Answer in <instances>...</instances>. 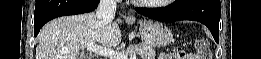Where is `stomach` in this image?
<instances>
[{
    "instance_id": "0dacf381",
    "label": "stomach",
    "mask_w": 261,
    "mask_h": 59,
    "mask_svg": "<svg viewBox=\"0 0 261 59\" xmlns=\"http://www.w3.org/2000/svg\"><path fill=\"white\" fill-rule=\"evenodd\" d=\"M139 33L143 42L151 47H164L173 40L170 29L163 23L154 20L141 21Z\"/></svg>"
}]
</instances>
